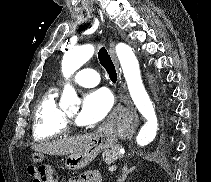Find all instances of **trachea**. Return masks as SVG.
<instances>
[{
    "mask_svg": "<svg viewBox=\"0 0 211 182\" xmlns=\"http://www.w3.org/2000/svg\"><path fill=\"white\" fill-rule=\"evenodd\" d=\"M98 58L100 64L106 69L107 73L109 74V77L113 83L117 80V73L115 70V66L113 64V61L108 54L105 47H101L98 51Z\"/></svg>",
    "mask_w": 211,
    "mask_h": 182,
    "instance_id": "1",
    "label": "trachea"
}]
</instances>
